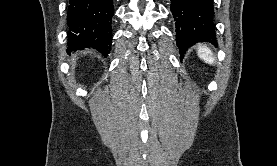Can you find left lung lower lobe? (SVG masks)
Instances as JSON below:
<instances>
[{
    "label": "left lung lower lobe",
    "instance_id": "0a47b994",
    "mask_svg": "<svg viewBox=\"0 0 277 166\" xmlns=\"http://www.w3.org/2000/svg\"><path fill=\"white\" fill-rule=\"evenodd\" d=\"M170 9L176 22V40L181 52L200 41L216 44L211 0H171Z\"/></svg>",
    "mask_w": 277,
    "mask_h": 166
}]
</instances>
